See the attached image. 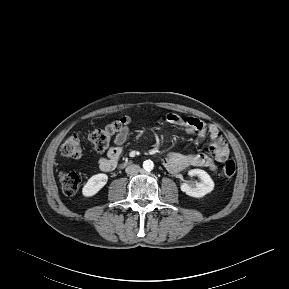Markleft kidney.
Wrapping results in <instances>:
<instances>
[{
	"instance_id": "obj_1",
	"label": "left kidney",
	"mask_w": 289,
	"mask_h": 289,
	"mask_svg": "<svg viewBox=\"0 0 289 289\" xmlns=\"http://www.w3.org/2000/svg\"><path fill=\"white\" fill-rule=\"evenodd\" d=\"M188 174L190 176H198L201 182L197 183L196 186H191L187 183L181 184L180 189L185 194L191 197L200 198L214 189V182L206 171L201 169H192Z\"/></svg>"
}]
</instances>
